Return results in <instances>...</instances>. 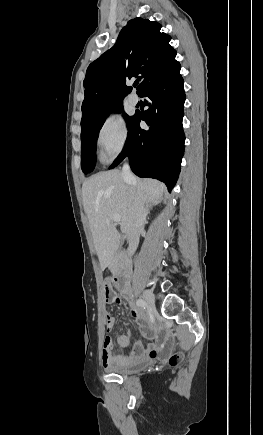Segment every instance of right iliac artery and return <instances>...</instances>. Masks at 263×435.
<instances>
[{
    "instance_id": "right-iliac-artery-1",
    "label": "right iliac artery",
    "mask_w": 263,
    "mask_h": 435,
    "mask_svg": "<svg viewBox=\"0 0 263 435\" xmlns=\"http://www.w3.org/2000/svg\"><path fill=\"white\" fill-rule=\"evenodd\" d=\"M137 306L141 307V308H145L146 307V302L143 299H138L136 301Z\"/></svg>"
}]
</instances>
